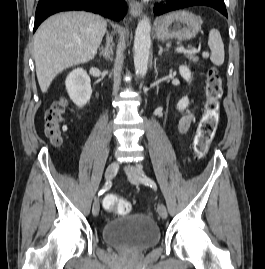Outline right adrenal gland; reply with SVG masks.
Here are the masks:
<instances>
[{
  "label": "right adrenal gland",
  "mask_w": 265,
  "mask_h": 269,
  "mask_svg": "<svg viewBox=\"0 0 265 269\" xmlns=\"http://www.w3.org/2000/svg\"><path fill=\"white\" fill-rule=\"evenodd\" d=\"M112 40L109 34H106V46L105 47H100V56H103L106 60L111 59V56L113 55V49H112Z\"/></svg>",
  "instance_id": "right-adrenal-gland-1"
}]
</instances>
